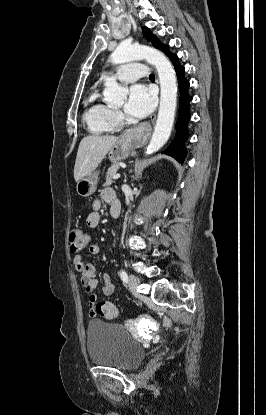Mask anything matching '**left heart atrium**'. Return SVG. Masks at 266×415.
Wrapping results in <instances>:
<instances>
[{
    "instance_id": "39dd6f15",
    "label": "left heart atrium",
    "mask_w": 266,
    "mask_h": 415,
    "mask_svg": "<svg viewBox=\"0 0 266 415\" xmlns=\"http://www.w3.org/2000/svg\"><path fill=\"white\" fill-rule=\"evenodd\" d=\"M155 107V95L147 86L134 84L129 89V95L124 110L127 115L143 118L150 114Z\"/></svg>"
}]
</instances>
